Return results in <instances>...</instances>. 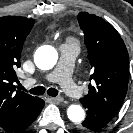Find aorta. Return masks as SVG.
<instances>
[{"label":"aorta","instance_id":"1","mask_svg":"<svg viewBox=\"0 0 133 133\" xmlns=\"http://www.w3.org/2000/svg\"><path fill=\"white\" fill-rule=\"evenodd\" d=\"M58 59L57 51L52 46L44 47L34 57L36 66L41 70L52 69ZM68 118L74 123H80L85 118L84 109L80 105L72 104L67 109Z\"/></svg>","mask_w":133,"mask_h":133}]
</instances>
